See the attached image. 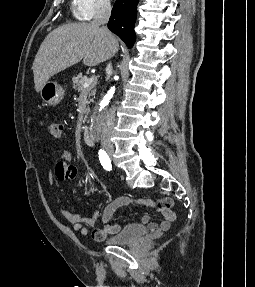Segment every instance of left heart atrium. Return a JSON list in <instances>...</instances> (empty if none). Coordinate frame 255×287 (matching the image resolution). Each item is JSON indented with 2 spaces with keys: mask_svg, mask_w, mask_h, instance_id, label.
Instances as JSON below:
<instances>
[{
  "mask_svg": "<svg viewBox=\"0 0 255 287\" xmlns=\"http://www.w3.org/2000/svg\"><path fill=\"white\" fill-rule=\"evenodd\" d=\"M75 33H93V32H75ZM73 39H91V38H73ZM77 48H88V47H77Z\"/></svg>",
  "mask_w": 255,
  "mask_h": 287,
  "instance_id": "39dd6f15",
  "label": "left heart atrium"
}]
</instances>
